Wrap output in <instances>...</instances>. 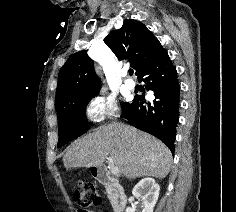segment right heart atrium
Masks as SVG:
<instances>
[{"label":"right heart atrium","mask_w":236,"mask_h":212,"mask_svg":"<svg viewBox=\"0 0 236 212\" xmlns=\"http://www.w3.org/2000/svg\"><path fill=\"white\" fill-rule=\"evenodd\" d=\"M118 106L111 96H96L86 106V116L92 122H102L117 116Z\"/></svg>","instance_id":"1"}]
</instances>
